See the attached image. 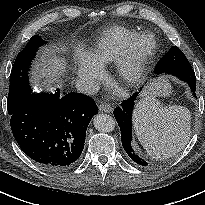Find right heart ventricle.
Segmentation results:
<instances>
[{"label": "right heart ventricle", "mask_w": 205, "mask_h": 205, "mask_svg": "<svg viewBox=\"0 0 205 205\" xmlns=\"http://www.w3.org/2000/svg\"><path fill=\"white\" fill-rule=\"evenodd\" d=\"M136 36V32L127 28L111 27L100 34L90 51V57L100 65L112 63L130 49Z\"/></svg>", "instance_id": "right-heart-ventricle-1"}]
</instances>
